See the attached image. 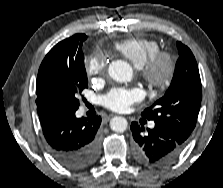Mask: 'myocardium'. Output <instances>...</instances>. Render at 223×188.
Masks as SVG:
<instances>
[{
  "label": "myocardium",
  "instance_id": "f54148a6",
  "mask_svg": "<svg viewBox=\"0 0 223 188\" xmlns=\"http://www.w3.org/2000/svg\"><path fill=\"white\" fill-rule=\"evenodd\" d=\"M142 78L152 87L163 89L170 85L176 72V60L172 54L159 51L140 67Z\"/></svg>",
  "mask_w": 223,
  "mask_h": 188
}]
</instances>
